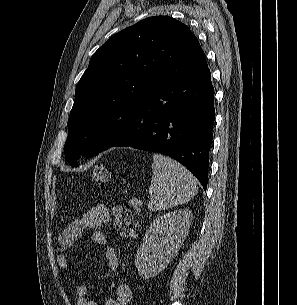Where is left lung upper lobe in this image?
<instances>
[{
    "mask_svg": "<svg viewBox=\"0 0 297 305\" xmlns=\"http://www.w3.org/2000/svg\"><path fill=\"white\" fill-rule=\"evenodd\" d=\"M190 29L168 16L146 18L115 34L91 57L75 90L65 157L100 153L119 137L135 107L164 82L206 67Z\"/></svg>",
    "mask_w": 297,
    "mask_h": 305,
    "instance_id": "5c2ea615",
    "label": "left lung upper lobe"
}]
</instances>
